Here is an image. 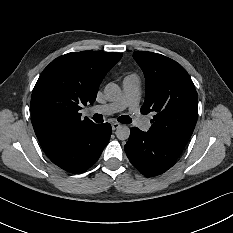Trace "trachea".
Segmentation results:
<instances>
[{
    "mask_svg": "<svg viewBox=\"0 0 233 233\" xmlns=\"http://www.w3.org/2000/svg\"><path fill=\"white\" fill-rule=\"evenodd\" d=\"M92 119L97 123L103 122V116L101 114H95ZM117 120L123 124H129L132 122L128 115H121L117 118Z\"/></svg>",
    "mask_w": 233,
    "mask_h": 233,
    "instance_id": "trachea-1",
    "label": "trachea"
}]
</instances>
